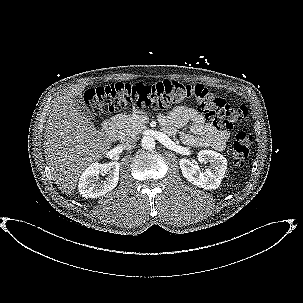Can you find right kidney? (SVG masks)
Wrapping results in <instances>:
<instances>
[{"instance_id": "1", "label": "right kidney", "mask_w": 303, "mask_h": 303, "mask_svg": "<svg viewBox=\"0 0 303 303\" xmlns=\"http://www.w3.org/2000/svg\"><path fill=\"white\" fill-rule=\"evenodd\" d=\"M120 163H92L79 178L78 190L82 197L97 198L113 190L119 180ZM99 175L107 176L104 181L97 182Z\"/></svg>"}]
</instances>
